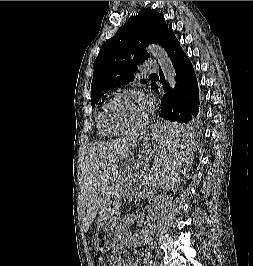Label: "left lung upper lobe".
Wrapping results in <instances>:
<instances>
[{
	"instance_id": "obj_1",
	"label": "left lung upper lobe",
	"mask_w": 253,
	"mask_h": 266,
	"mask_svg": "<svg viewBox=\"0 0 253 266\" xmlns=\"http://www.w3.org/2000/svg\"><path fill=\"white\" fill-rule=\"evenodd\" d=\"M172 32L164 17L153 9H144L131 17L104 43L93 64L92 108L107 91L133 81L138 65L149 58L147 45L155 43L164 47Z\"/></svg>"
}]
</instances>
